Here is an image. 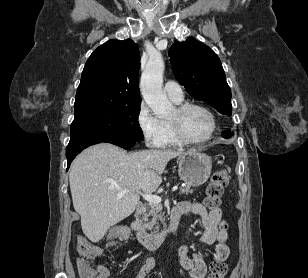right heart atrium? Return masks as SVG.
<instances>
[{"mask_svg": "<svg viewBox=\"0 0 308 278\" xmlns=\"http://www.w3.org/2000/svg\"><path fill=\"white\" fill-rule=\"evenodd\" d=\"M137 125L148 145L152 147L164 146L166 139L164 122L157 118L145 103H141L139 107Z\"/></svg>", "mask_w": 308, "mask_h": 278, "instance_id": "right-heart-atrium-1", "label": "right heart atrium"}]
</instances>
